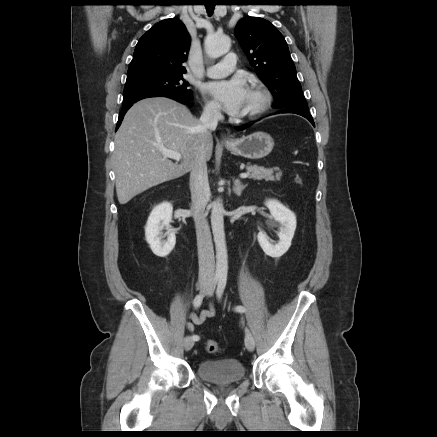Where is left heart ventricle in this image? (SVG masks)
Wrapping results in <instances>:
<instances>
[{
    "label": "left heart ventricle",
    "mask_w": 437,
    "mask_h": 437,
    "mask_svg": "<svg viewBox=\"0 0 437 437\" xmlns=\"http://www.w3.org/2000/svg\"><path fill=\"white\" fill-rule=\"evenodd\" d=\"M259 103V96L257 93L251 91L250 89L248 90L245 100H244V104L241 110V115L252 110L253 108H255L257 106V104Z\"/></svg>",
    "instance_id": "left-heart-ventricle-1"
}]
</instances>
